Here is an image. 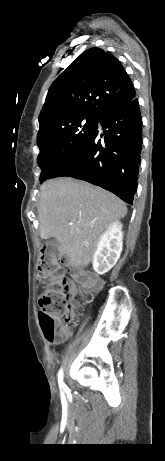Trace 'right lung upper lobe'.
I'll list each match as a JSON object with an SVG mask.
<instances>
[{
	"instance_id": "right-lung-upper-lobe-1",
	"label": "right lung upper lobe",
	"mask_w": 165,
	"mask_h": 461,
	"mask_svg": "<svg viewBox=\"0 0 165 461\" xmlns=\"http://www.w3.org/2000/svg\"><path fill=\"white\" fill-rule=\"evenodd\" d=\"M134 98L135 88L121 62L97 47L88 49L49 88L37 136L67 119H99Z\"/></svg>"
}]
</instances>
